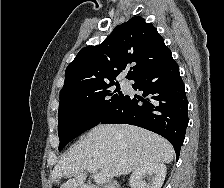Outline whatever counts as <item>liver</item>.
<instances>
[{
  "instance_id": "obj_1",
  "label": "liver",
  "mask_w": 224,
  "mask_h": 188,
  "mask_svg": "<svg viewBox=\"0 0 224 188\" xmlns=\"http://www.w3.org/2000/svg\"><path fill=\"white\" fill-rule=\"evenodd\" d=\"M175 152L163 137L131 125H99L63 155L52 172L60 188H85L86 170L96 167L107 179L128 174L150 163H170Z\"/></svg>"
}]
</instances>
